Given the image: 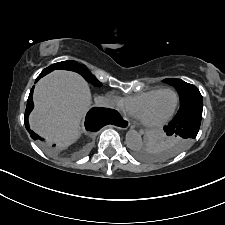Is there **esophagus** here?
<instances>
[{"mask_svg": "<svg viewBox=\"0 0 225 225\" xmlns=\"http://www.w3.org/2000/svg\"><path fill=\"white\" fill-rule=\"evenodd\" d=\"M130 126V122L127 118L123 117L122 121L120 122V124H118L117 128L119 129H127Z\"/></svg>", "mask_w": 225, "mask_h": 225, "instance_id": "esophagus-1", "label": "esophagus"}]
</instances>
